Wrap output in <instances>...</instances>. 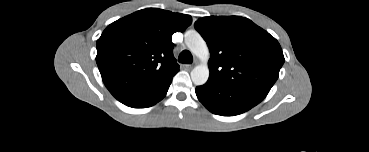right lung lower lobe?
<instances>
[{
    "instance_id": "right-lung-lower-lobe-1",
    "label": "right lung lower lobe",
    "mask_w": 369,
    "mask_h": 152,
    "mask_svg": "<svg viewBox=\"0 0 369 152\" xmlns=\"http://www.w3.org/2000/svg\"><path fill=\"white\" fill-rule=\"evenodd\" d=\"M171 82H172V79H170L161 89H159L157 91L148 93V94L143 95L141 97H138L136 99L126 101V102H122V103L129 106V107H133V108H147V107H150V106L156 104L157 102H159L160 100H162L165 97Z\"/></svg>"
}]
</instances>
